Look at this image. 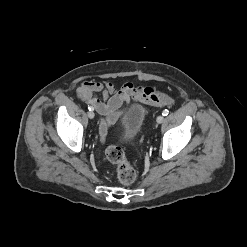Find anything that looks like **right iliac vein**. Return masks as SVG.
Returning <instances> with one entry per match:
<instances>
[{
	"instance_id": "obj_1",
	"label": "right iliac vein",
	"mask_w": 247,
	"mask_h": 247,
	"mask_svg": "<svg viewBox=\"0 0 247 247\" xmlns=\"http://www.w3.org/2000/svg\"><path fill=\"white\" fill-rule=\"evenodd\" d=\"M94 116H95V114H94L93 111H89V112H88V117H89L90 119H93Z\"/></svg>"
}]
</instances>
